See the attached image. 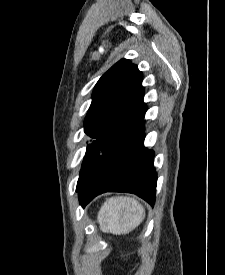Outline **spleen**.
<instances>
[{
    "label": "spleen",
    "mask_w": 225,
    "mask_h": 275,
    "mask_svg": "<svg viewBox=\"0 0 225 275\" xmlns=\"http://www.w3.org/2000/svg\"><path fill=\"white\" fill-rule=\"evenodd\" d=\"M145 218L144 207L134 198L112 197L101 206L97 221L100 230L114 235L128 234Z\"/></svg>",
    "instance_id": "spleen-1"
}]
</instances>
